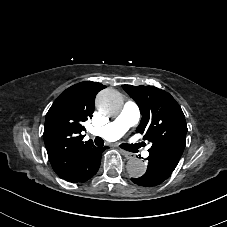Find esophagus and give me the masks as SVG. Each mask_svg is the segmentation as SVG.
Masks as SVG:
<instances>
[{
	"label": "esophagus",
	"instance_id": "1",
	"mask_svg": "<svg viewBox=\"0 0 227 227\" xmlns=\"http://www.w3.org/2000/svg\"><path fill=\"white\" fill-rule=\"evenodd\" d=\"M120 153L126 158V159H132L135 157L134 153L127 152L125 150H120Z\"/></svg>",
	"mask_w": 227,
	"mask_h": 227
}]
</instances>
